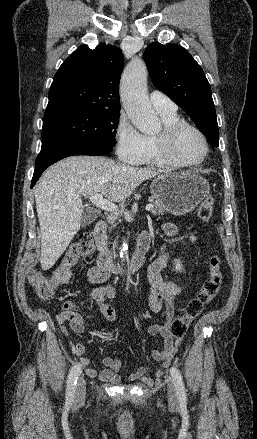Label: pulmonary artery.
I'll list each match as a JSON object with an SVG mask.
<instances>
[{"mask_svg":"<svg viewBox=\"0 0 257 439\" xmlns=\"http://www.w3.org/2000/svg\"><path fill=\"white\" fill-rule=\"evenodd\" d=\"M150 102L156 111L164 114L176 112L175 103L164 93L154 90L150 93Z\"/></svg>","mask_w":257,"mask_h":439,"instance_id":"pulmonary-artery-1","label":"pulmonary artery"}]
</instances>
